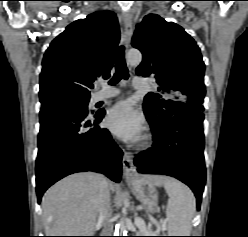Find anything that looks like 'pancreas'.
<instances>
[{
	"label": "pancreas",
	"instance_id": "obj_1",
	"mask_svg": "<svg viewBox=\"0 0 248 237\" xmlns=\"http://www.w3.org/2000/svg\"><path fill=\"white\" fill-rule=\"evenodd\" d=\"M164 229H165V225L162 223L161 227L158 228L156 231H152V230H148L146 228L139 227V233H140V235L147 236V235H153V233H159L160 231H162Z\"/></svg>",
	"mask_w": 248,
	"mask_h": 237
}]
</instances>
